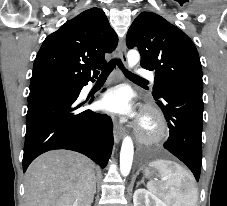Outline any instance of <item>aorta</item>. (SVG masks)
<instances>
[{"instance_id": "1", "label": "aorta", "mask_w": 227, "mask_h": 206, "mask_svg": "<svg viewBox=\"0 0 227 206\" xmlns=\"http://www.w3.org/2000/svg\"><path fill=\"white\" fill-rule=\"evenodd\" d=\"M140 60V55L136 50H130L127 54L128 67H134ZM134 146L129 136H126L122 142L120 152V172L126 177L130 173L133 161Z\"/></svg>"}]
</instances>
